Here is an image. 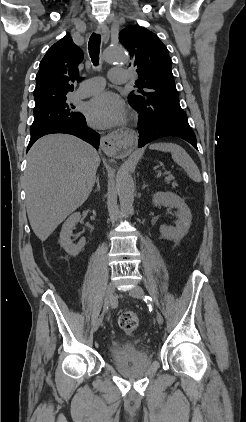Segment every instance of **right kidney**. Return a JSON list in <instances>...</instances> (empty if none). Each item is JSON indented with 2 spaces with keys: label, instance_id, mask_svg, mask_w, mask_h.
I'll return each instance as SVG.
<instances>
[{
  "label": "right kidney",
  "instance_id": "ca27d5eb",
  "mask_svg": "<svg viewBox=\"0 0 246 422\" xmlns=\"http://www.w3.org/2000/svg\"><path fill=\"white\" fill-rule=\"evenodd\" d=\"M81 214L76 212L72 214L63 224L60 232L61 246L70 256H77L82 248L85 246L86 240L82 238L77 244H74L71 240L72 231L76 224L79 222Z\"/></svg>",
  "mask_w": 246,
  "mask_h": 422
}]
</instances>
